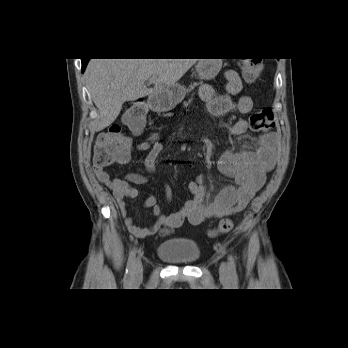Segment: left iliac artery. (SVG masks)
Returning a JSON list of instances; mask_svg holds the SVG:
<instances>
[{"instance_id": "left-iliac-artery-1", "label": "left iliac artery", "mask_w": 348, "mask_h": 348, "mask_svg": "<svg viewBox=\"0 0 348 348\" xmlns=\"http://www.w3.org/2000/svg\"><path fill=\"white\" fill-rule=\"evenodd\" d=\"M228 267L230 270L232 281L236 284L238 281H237V276H236L235 261H234V258L232 257V255L228 256Z\"/></svg>"}]
</instances>
